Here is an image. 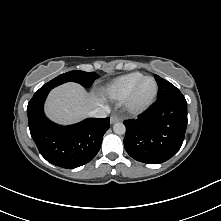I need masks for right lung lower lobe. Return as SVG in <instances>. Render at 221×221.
<instances>
[{"label":"right lung lower lobe","mask_w":221,"mask_h":221,"mask_svg":"<svg viewBox=\"0 0 221 221\" xmlns=\"http://www.w3.org/2000/svg\"><path fill=\"white\" fill-rule=\"evenodd\" d=\"M49 90L35 93L27 106L31 136L40 154L50 163L67 169L82 166L98 153L109 118H88L80 123L61 126L43 112Z\"/></svg>","instance_id":"right-lung-lower-lobe-1"}]
</instances>
